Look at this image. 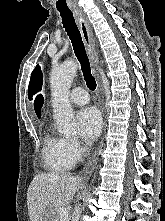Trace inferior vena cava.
I'll return each instance as SVG.
<instances>
[{
	"label": "inferior vena cava",
	"mask_w": 165,
	"mask_h": 221,
	"mask_svg": "<svg viewBox=\"0 0 165 221\" xmlns=\"http://www.w3.org/2000/svg\"><path fill=\"white\" fill-rule=\"evenodd\" d=\"M80 215H81V208L79 206H75L72 221H78Z\"/></svg>",
	"instance_id": "1"
}]
</instances>
